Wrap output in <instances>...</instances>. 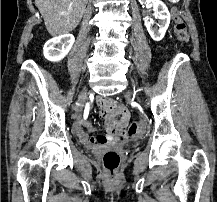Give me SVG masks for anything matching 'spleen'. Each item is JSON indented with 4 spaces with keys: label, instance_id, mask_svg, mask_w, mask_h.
<instances>
[{
    "label": "spleen",
    "instance_id": "obj_1",
    "mask_svg": "<svg viewBox=\"0 0 217 202\" xmlns=\"http://www.w3.org/2000/svg\"><path fill=\"white\" fill-rule=\"evenodd\" d=\"M171 5H176V0H171Z\"/></svg>",
    "mask_w": 217,
    "mask_h": 202
}]
</instances>
